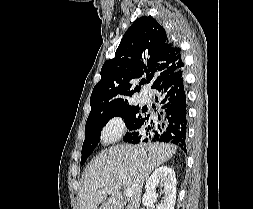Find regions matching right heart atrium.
<instances>
[{
  "mask_svg": "<svg viewBox=\"0 0 253 209\" xmlns=\"http://www.w3.org/2000/svg\"><path fill=\"white\" fill-rule=\"evenodd\" d=\"M125 130V124L122 118L113 117L103 126L100 138L103 144L114 143L121 138Z\"/></svg>",
  "mask_w": 253,
  "mask_h": 209,
  "instance_id": "obj_1",
  "label": "right heart atrium"
}]
</instances>
